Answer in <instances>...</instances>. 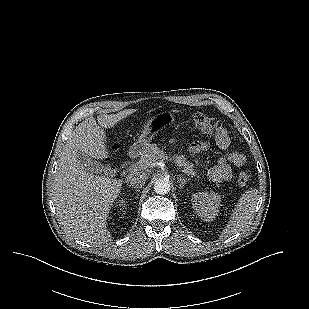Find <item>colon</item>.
<instances>
[{
    "label": "colon",
    "mask_w": 309,
    "mask_h": 309,
    "mask_svg": "<svg viewBox=\"0 0 309 309\" xmlns=\"http://www.w3.org/2000/svg\"><path fill=\"white\" fill-rule=\"evenodd\" d=\"M192 122L196 128L209 135L217 134L223 128L220 121L200 112L192 114ZM250 177L251 174L248 170H242L237 174L236 181L239 185H245L250 180Z\"/></svg>",
    "instance_id": "5ec220e1"
}]
</instances>
